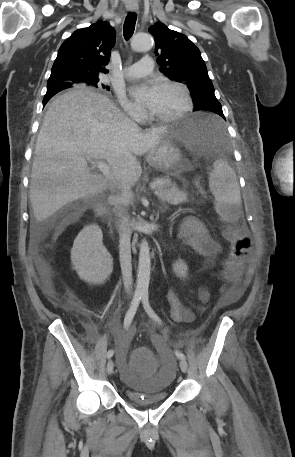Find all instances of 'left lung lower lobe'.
<instances>
[{
  "label": "left lung lower lobe",
  "instance_id": "1",
  "mask_svg": "<svg viewBox=\"0 0 295 457\" xmlns=\"http://www.w3.org/2000/svg\"><path fill=\"white\" fill-rule=\"evenodd\" d=\"M204 110L214 112V113L220 115L223 119H225L221 106H210L209 105V106H206ZM205 128L211 135H213V133L215 132L214 126L212 124L206 123Z\"/></svg>",
  "mask_w": 295,
  "mask_h": 457
}]
</instances>
